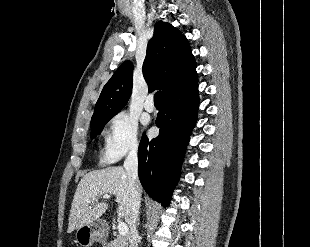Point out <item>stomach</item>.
<instances>
[{"mask_svg": "<svg viewBox=\"0 0 310 247\" xmlns=\"http://www.w3.org/2000/svg\"><path fill=\"white\" fill-rule=\"evenodd\" d=\"M107 231V224L97 219L92 223L82 225L77 228L76 242L81 247H91L95 242L101 240Z\"/></svg>", "mask_w": 310, "mask_h": 247, "instance_id": "0dacf381", "label": "stomach"}]
</instances>
